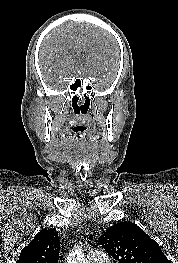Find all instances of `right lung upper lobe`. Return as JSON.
<instances>
[{
  "label": "right lung upper lobe",
  "instance_id": "obj_1",
  "mask_svg": "<svg viewBox=\"0 0 178 263\" xmlns=\"http://www.w3.org/2000/svg\"><path fill=\"white\" fill-rule=\"evenodd\" d=\"M59 251L56 229H44L22 249L16 263H57Z\"/></svg>",
  "mask_w": 178,
  "mask_h": 263
}]
</instances>
